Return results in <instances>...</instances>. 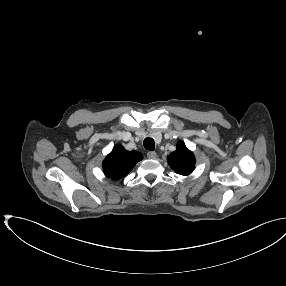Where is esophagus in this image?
<instances>
[{
  "label": "esophagus",
  "mask_w": 286,
  "mask_h": 286,
  "mask_svg": "<svg viewBox=\"0 0 286 286\" xmlns=\"http://www.w3.org/2000/svg\"><path fill=\"white\" fill-rule=\"evenodd\" d=\"M147 157H148L149 159H155V158L157 157V154H156L155 151H149V152L147 153Z\"/></svg>",
  "instance_id": "34e87169"
}]
</instances>
